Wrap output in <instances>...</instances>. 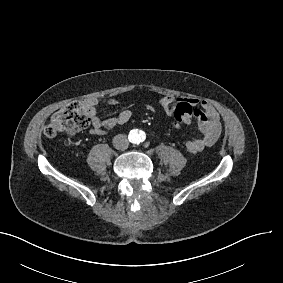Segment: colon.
<instances>
[{"label": "colon", "mask_w": 283, "mask_h": 283, "mask_svg": "<svg viewBox=\"0 0 283 283\" xmlns=\"http://www.w3.org/2000/svg\"><path fill=\"white\" fill-rule=\"evenodd\" d=\"M177 113L179 121L186 123L187 127L193 126L190 115L192 114V106L186 102L178 105ZM89 125L86 109L80 102H72L70 106H65L55 112L51 122L44 128V136L48 139L56 138L61 134H75L87 129ZM175 126H179L175 123Z\"/></svg>", "instance_id": "5ec220e1"}]
</instances>
